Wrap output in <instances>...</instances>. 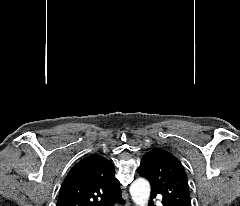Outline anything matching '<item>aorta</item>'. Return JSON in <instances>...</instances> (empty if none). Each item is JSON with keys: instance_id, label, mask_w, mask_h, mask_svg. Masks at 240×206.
Instances as JSON below:
<instances>
[{"instance_id": "obj_1", "label": "aorta", "mask_w": 240, "mask_h": 206, "mask_svg": "<svg viewBox=\"0 0 240 206\" xmlns=\"http://www.w3.org/2000/svg\"><path fill=\"white\" fill-rule=\"evenodd\" d=\"M150 191L148 181L143 178L136 179L130 186V194L136 206H147Z\"/></svg>"}]
</instances>
